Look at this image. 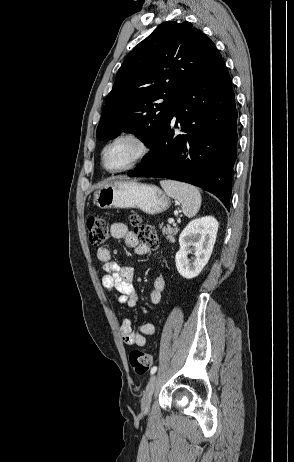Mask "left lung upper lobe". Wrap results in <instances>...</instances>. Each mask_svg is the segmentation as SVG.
Masks as SVG:
<instances>
[{
	"label": "left lung upper lobe",
	"mask_w": 294,
	"mask_h": 462,
	"mask_svg": "<svg viewBox=\"0 0 294 462\" xmlns=\"http://www.w3.org/2000/svg\"><path fill=\"white\" fill-rule=\"evenodd\" d=\"M222 59L214 43L189 22H166L126 57L108 94L96 132L109 140L142 134L149 147L164 131L179 97Z\"/></svg>",
	"instance_id": "5c2ea615"
}]
</instances>
